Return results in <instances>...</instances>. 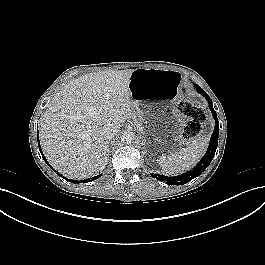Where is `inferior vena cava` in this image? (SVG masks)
<instances>
[{
  "instance_id": "inferior-vena-cava-1",
  "label": "inferior vena cava",
  "mask_w": 265,
  "mask_h": 265,
  "mask_svg": "<svg viewBox=\"0 0 265 265\" xmlns=\"http://www.w3.org/2000/svg\"><path fill=\"white\" fill-rule=\"evenodd\" d=\"M118 133V130L110 125H104L101 129V134L106 138V139H111L112 137H114L116 134Z\"/></svg>"
}]
</instances>
